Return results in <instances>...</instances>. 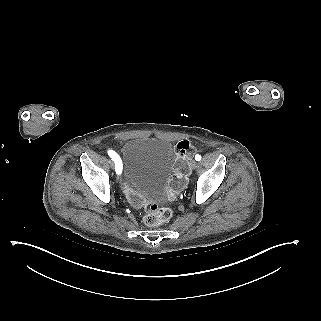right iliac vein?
I'll return each mask as SVG.
<instances>
[{"label":"right iliac vein","instance_id":"right-iliac-vein-1","mask_svg":"<svg viewBox=\"0 0 321 321\" xmlns=\"http://www.w3.org/2000/svg\"><path fill=\"white\" fill-rule=\"evenodd\" d=\"M109 164H110V167H111L112 169H114V167H115L114 162H113V161H109Z\"/></svg>","mask_w":321,"mask_h":321}]
</instances>
